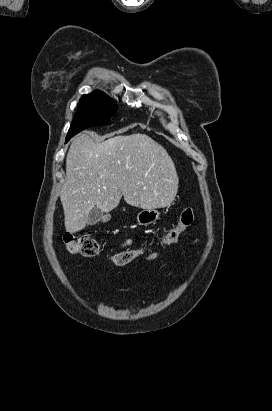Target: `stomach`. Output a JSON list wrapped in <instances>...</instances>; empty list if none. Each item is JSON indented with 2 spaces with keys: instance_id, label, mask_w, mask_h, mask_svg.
<instances>
[{
  "instance_id": "1",
  "label": "stomach",
  "mask_w": 272,
  "mask_h": 411,
  "mask_svg": "<svg viewBox=\"0 0 272 411\" xmlns=\"http://www.w3.org/2000/svg\"><path fill=\"white\" fill-rule=\"evenodd\" d=\"M159 216L160 213L155 209H143L137 214V222L139 225L148 226L155 223Z\"/></svg>"
}]
</instances>
